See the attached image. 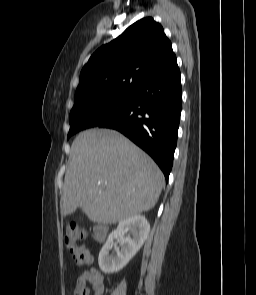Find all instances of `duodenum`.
Returning a JSON list of instances; mask_svg holds the SVG:
<instances>
[{
    "label": "duodenum",
    "instance_id": "obj_1",
    "mask_svg": "<svg viewBox=\"0 0 256 295\" xmlns=\"http://www.w3.org/2000/svg\"><path fill=\"white\" fill-rule=\"evenodd\" d=\"M108 227L104 224H97L93 228V234L97 241L102 242L108 235Z\"/></svg>",
    "mask_w": 256,
    "mask_h": 295
}]
</instances>
